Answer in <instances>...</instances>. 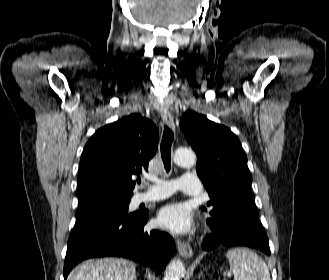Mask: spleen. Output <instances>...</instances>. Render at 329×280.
Returning a JSON list of instances; mask_svg holds the SVG:
<instances>
[{
	"instance_id": "1",
	"label": "spleen",
	"mask_w": 329,
	"mask_h": 280,
	"mask_svg": "<svg viewBox=\"0 0 329 280\" xmlns=\"http://www.w3.org/2000/svg\"><path fill=\"white\" fill-rule=\"evenodd\" d=\"M234 280H271L266 263L248 248H234L226 253Z\"/></svg>"
}]
</instances>
